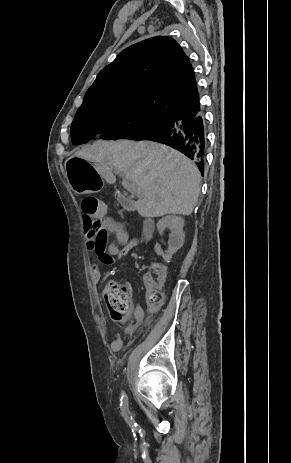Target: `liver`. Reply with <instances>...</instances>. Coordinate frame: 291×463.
I'll use <instances>...</instances> for the list:
<instances>
[{
  "mask_svg": "<svg viewBox=\"0 0 291 463\" xmlns=\"http://www.w3.org/2000/svg\"><path fill=\"white\" fill-rule=\"evenodd\" d=\"M92 162L109 184L116 182L113 168L136 183V203L142 217L166 214L189 216L197 204L201 175L196 165L178 151L152 141H96L74 154Z\"/></svg>",
  "mask_w": 291,
  "mask_h": 463,
  "instance_id": "liver-1",
  "label": "liver"
}]
</instances>
